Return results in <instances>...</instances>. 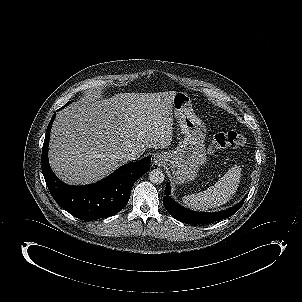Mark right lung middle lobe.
Masks as SVG:
<instances>
[{
	"mask_svg": "<svg viewBox=\"0 0 302 302\" xmlns=\"http://www.w3.org/2000/svg\"><path fill=\"white\" fill-rule=\"evenodd\" d=\"M69 103H70V101H69V102H67L65 106H67ZM65 106H63V107H65ZM63 107H62V108H63Z\"/></svg>",
	"mask_w": 302,
	"mask_h": 302,
	"instance_id": "1",
	"label": "right lung middle lobe"
}]
</instances>
